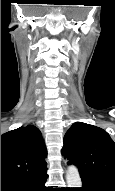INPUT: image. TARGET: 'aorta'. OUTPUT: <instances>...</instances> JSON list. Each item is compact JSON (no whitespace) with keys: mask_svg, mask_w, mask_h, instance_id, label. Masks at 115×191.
I'll return each instance as SVG.
<instances>
[{"mask_svg":"<svg viewBox=\"0 0 115 191\" xmlns=\"http://www.w3.org/2000/svg\"><path fill=\"white\" fill-rule=\"evenodd\" d=\"M66 182L68 187L79 188L82 185L81 177L77 167L69 166L66 173Z\"/></svg>","mask_w":115,"mask_h":191,"instance_id":"obj_1","label":"aorta"}]
</instances>
